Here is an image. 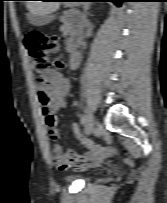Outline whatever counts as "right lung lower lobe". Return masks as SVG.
<instances>
[{"mask_svg": "<svg viewBox=\"0 0 167 203\" xmlns=\"http://www.w3.org/2000/svg\"><path fill=\"white\" fill-rule=\"evenodd\" d=\"M79 1H109L115 3L117 6H121L122 2L129 1V0H79Z\"/></svg>", "mask_w": 167, "mask_h": 203, "instance_id": "98d812e1", "label": "right lung lower lobe"}]
</instances>
